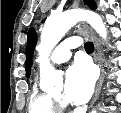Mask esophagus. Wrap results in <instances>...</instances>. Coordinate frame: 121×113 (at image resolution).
<instances>
[{
  "label": "esophagus",
  "instance_id": "esophagus-1",
  "mask_svg": "<svg viewBox=\"0 0 121 113\" xmlns=\"http://www.w3.org/2000/svg\"><path fill=\"white\" fill-rule=\"evenodd\" d=\"M85 27L90 30L91 38H92L94 46H95L94 59H95V62L99 65L100 70H101V74H100V77H99L98 82L96 84L95 92H94L93 98H92L91 103H90V107H92L93 104L96 102L98 95L100 93V89H101V86H102V83L104 80L105 71H104V67H103L102 54H101L100 44H99L98 38L95 35V33L88 27V25H85Z\"/></svg>",
  "mask_w": 121,
  "mask_h": 113
}]
</instances>
